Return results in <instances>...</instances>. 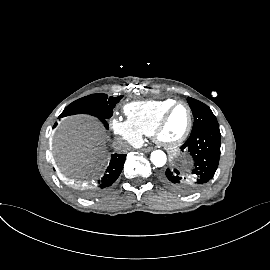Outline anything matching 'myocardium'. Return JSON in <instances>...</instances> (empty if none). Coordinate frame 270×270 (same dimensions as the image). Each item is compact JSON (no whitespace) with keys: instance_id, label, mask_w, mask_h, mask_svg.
I'll use <instances>...</instances> for the list:
<instances>
[{"instance_id":"1","label":"myocardium","mask_w":270,"mask_h":270,"mask_svg":"<svg viewBox=\"0 0 270 270\" xmlns=\"http://www.w3.org/2000/svg\"><path fill=\"white\" fill-rule=\"evenodd\" d=\"M185 106L187 108L188 111V123H187V127L185 129V131L183 132V134L174 139V140H165L162 138V131L163 128L166 124V121L169 117V115L171 114V112L177 107V106ZM193 127V112L192 109L190 107V105L185 102V101H176L173 104H171L160 116L159 120L156 123V126L154 128V132H153V138L154 141L161 147L164 148H175L179 145H181L190 135L191 130Z\"/></svg>"}]
</instances>
